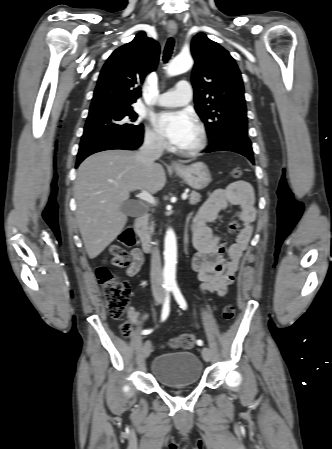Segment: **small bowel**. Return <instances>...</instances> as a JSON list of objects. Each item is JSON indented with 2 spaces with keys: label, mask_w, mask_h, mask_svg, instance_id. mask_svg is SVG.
I'll return each mask as SVG.
<instances>
[{
  "label": "small bowel",
  "mask_w": 332,
  "mask_h": 449,
  "mask_svg": "<svg viewBox=\"0 0 332 449\" xmlns=\"http://www.w3.org/2000/svg\"><path fill=\"white\" fill-rule=\"evenodd\" d=\"M228 205L239 207L237 222H231V230L239 228L235 242L227 249L225 242L213 232L210 223L214 222ZM256 211L252 188L243 181L233 182L227 188L216 190L197 210L191 221L193 244L197 251L193 268L198 273L201 288L210 293L223 295L233 285L241 257L246 250L253 232ZM226 251V254H225ZM128 260L126 274L136 276L144 262L138 248L125 251ZM130 318L139 325L145 316L130 311Z\"/></svg>",
  "instance_id": "small-bowel-1"
}]
</instances>
